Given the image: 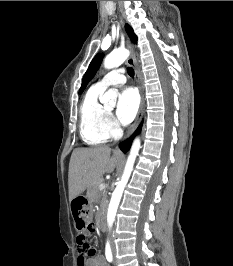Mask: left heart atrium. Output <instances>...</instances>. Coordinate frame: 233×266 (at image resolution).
I'll list each match as a JSON object with an SVG mask.
<instances>
[{
  "label": "left heart atrium",
  "mask_w": 233,
  "mask_h": 266,
  "mask_svg": "<svg viewBox=\"0 0 233 266\" xmlns=\"http://www.w3.org/2000/svg\"><path fill=\"white\" fill-rule=\"evenodd\" d=\"M139 108V96L135 89L125 88L119 95L116 114L119 121L126 125L136 116Z\"/></svg>",
  "instance_id": "obj_1"
}]
</instances>
